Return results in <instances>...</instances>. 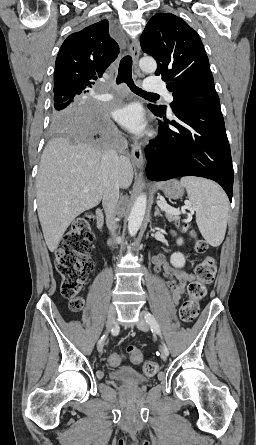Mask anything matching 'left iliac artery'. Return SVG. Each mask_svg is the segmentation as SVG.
Returning a JSON list of instances; mask_svg holds the SVG:
<instances>
[{
  "label": "left iliac artery",
  "instance_id": "left-iliac-artery-1",
  "mask_svg": "<svg viewBox=\"0 0 256 445\" xmlns=\"http://www.w3.org/2000/svg\"><path fill=\"white\" fill-rule=\"evenodd\" d=\"M145 320L150 325L152 332L157 333L161 337L162 344H163L162 350L164 351V353L166 355H169V350H168L166 344L163 341V338H162V335H161V331H160V327H159V324L156 321L155 317L151 313L145 312Z\"/></svg>",
  "mask_w": 256,
  "mask_h": 445
}]
</instances>
